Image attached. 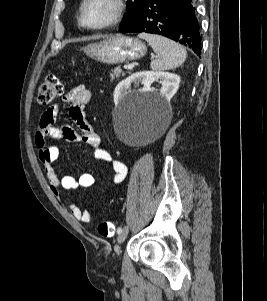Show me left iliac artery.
<instances>
[{
  "instance_id": "1",
  "label": "left iliac artery",
  "mask_w": 267,
  "mask_h": 301,
  "mask_svg": "<svg viewBox=\"0 0 267 301\" xmlns=\"http://www.w3.org/2000/svg\"><path fill=\"white\" fill-rule=\"evenodd\" d=\"M121 231H122V228L119 227V228L117 229V233L119 234Z\"/></svg>"
}]
</instances>
